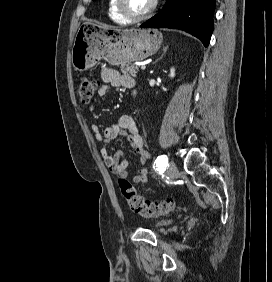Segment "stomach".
I'll use <instances>...</instances> for the list:
<instances>
[{
	"label": "stomach",
	"mask_w": 272,
	"mask_h": 282,
	"mask_svg": "<svg viewBox=\"0 0 272 282\" xmlns=\"http://www.w3.org/2000/svg\"><path fill=\"white\" fill-rule=\"evenodd\" d=\"M162 40V34L156 29L123 30L86 23L80 27L72 46V66L82 72L101 59L112 65L141 61L156 53Z\"/></svg>",
	"instance_id": "stomach-1"
}]
</instances>
